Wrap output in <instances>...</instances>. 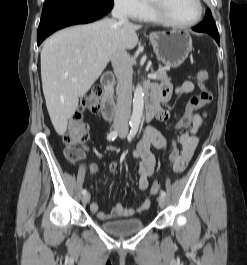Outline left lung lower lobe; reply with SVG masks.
I'll list each match as a JSON object with an SVG mask.
<instances>
[{"label": "left lung lower lobe", "mask_w": 247, "mask_h": 265, "mask_svg": "<svg viewBox=\"0 0 247 265\" xmlns=\"http://www.w3.org/2000/svg\"><path fill=\"white\" fill-rule=\"evenodd\" d=\"M193 30L210 34L220 45L219 34L214 25L210 10L207 11L205 19L198 26L194 27Z\"/></svg>", "instance_id": "obj_1"}]
</instances>
